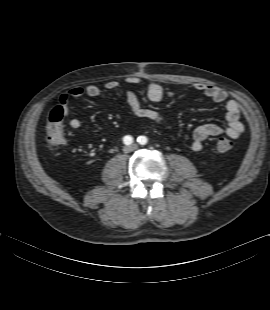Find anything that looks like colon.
Instances as JSON below:
<instances>
[{"mask_svg": "<svg viewBox=\"0 0 270 310\" xmlns=\"http://www.w3.org/2000/svg\"><path fill=\"white\" fill-rule=\"evenodd\" d=\"M64 111L55 106L50 112L46 126V140L50 149H55L65 141L63 129ZM232 142L226 137H218L215 140V147L219 152H228L232 148Z\"/></svg>", "mask_w": 270, "mask_h": 310, "instance_id": "5ec220e1", "label": "colon"}]
</instances>
